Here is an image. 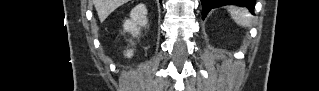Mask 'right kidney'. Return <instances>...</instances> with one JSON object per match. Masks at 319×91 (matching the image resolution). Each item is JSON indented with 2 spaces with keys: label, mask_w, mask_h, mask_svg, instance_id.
I'll return each mask as SVG.
<instances>
[{
  "label": "right kidney",
  "mask_w": 319,
  "mask_h": 91,
  "mask_svg": "<svg viewBox=\"0 0 319 91\" xmlns=\"http://www.w3.org/2000/svg\"><path fill=\"white\" fill-rule=\"evenodd\" d=\"M147 9L144 4H139L132 9L130 13V20L124 23V30L130 32L133 36L140 34V27L147 25ZM124 55L130 58L133 55V50H127Z\"/></svg>",
  "instance_id": "ca27d5eb"
}]
</instances>
